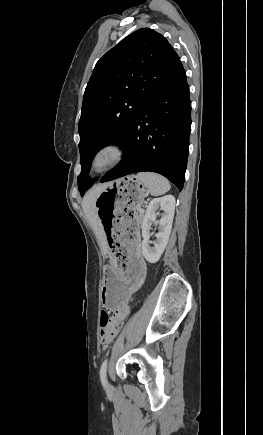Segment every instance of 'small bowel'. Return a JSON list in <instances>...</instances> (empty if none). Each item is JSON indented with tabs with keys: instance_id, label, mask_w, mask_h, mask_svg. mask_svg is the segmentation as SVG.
<instances>
[{
	"instance_id": "c3829d8e",
	"label": "small bowel",
	"mask_w": 263,
	"mask_h": 435,
	"mask_svg": "<svg viewBox=\"0 0 263 435\" xmlns=\"http://www.w3.org/2000/svg\"><path fill=\"white\" fill-rule=\"evenodd\" d=\"M136 260H143L139 253H137ZM144 269H145V267H144ZM129 312H130V309H129L128 305H121L120 310H113L112 321H107L104 324V327L107 329V333L109 335H112L113 338L118 333V328H117L118 322L124 321L125 318L128 316Z\"/></svg>"
}]
</instances>
